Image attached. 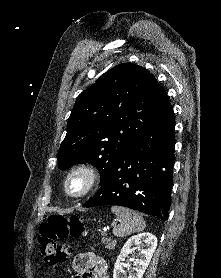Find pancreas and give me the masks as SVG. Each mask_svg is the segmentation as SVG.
<instances>
[{
  "instance_id": "pancreas-1",
  "label": "pancreas",
  "mask_w": 221,
  "mask_h": 278,
  "mask_svg": "<svg viewBox=\"0 0 221 278\" xmlns=\"http://www.w3.org/2000/svg\"><path fill=\"white\" fill-rule=\"evenodd\" d=\"M102 242L105 244L107 249H114L116 245V240L106 237V234H103Z\"/></svg>"
}]
</instances>
